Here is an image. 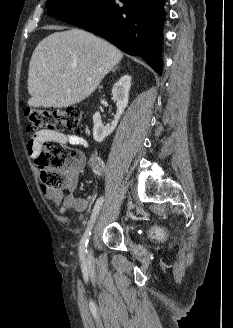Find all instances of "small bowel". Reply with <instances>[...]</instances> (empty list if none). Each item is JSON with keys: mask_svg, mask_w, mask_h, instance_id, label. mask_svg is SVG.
Segmentation results:
<instances>
[{"mask_svg": "<svg viewBox=\"0 0 233 328\" xmlns=\"http://www.w3.org/2000/svg\"><path fill=\"white\" fill-rule=\"evenodd\" d=\"M47 140H56L63 145L71 144L77 146L87 147L88 142L85 138L78 135H66L57 131L40 130L30 136L27 142V151L30 155H34L40 149L42 143ZM77 181L74 178L68 182L65 189L73 191L76 187ZM45 197L52 201L56 206L59 207L61 213L73 209L78 213L82 214L87 207V203L84 199L77 198L73 194H64V189H43Z\"/></svg>", "mask_w": 233, "mask_h": 328, "instance_id": "small-bowel-1", "label": "small bowel"}]
</instances>
